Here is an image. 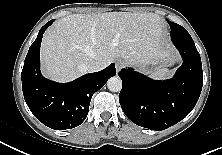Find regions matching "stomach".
Wrapping results in <instances>:
<instances>
[{"mask_svg":"<svg viewBox=\"0 0 222 155\" xmlns=\"http://www.w3.org/2000/svg\"><path fill=\"white\" fill-rule=\"evenodd\" d=\"M176 55L170 48L159 47L157 53L149 60L140 62L139 68L147 73H155L164 67L174 64Z\"/></svg>","mask_w":222,"mask_h":155,"instance_id":"stomach-1","label":"stomach"}]
</instances>
